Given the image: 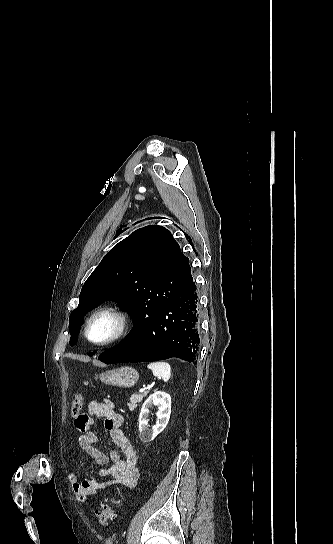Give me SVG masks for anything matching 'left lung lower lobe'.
Segmentation results:
<instances>
[{
    "label": "left lung lower lobe",
    "mask_w": 333,
    "mask_h": 544,
    "mask_svg": "<svg viewBox=\"0 0 333 544\" xmlns=\"http://www.w3.org/2000/svg\"><path fill=\"white\" fill-rule=\"evenodd\" d=\"M190 276L179 293L147 321L134 325L117 347L99 355L106 364L148 362L178 357L194 362L200 344V308Z\"/></svg>",
    "instance_id": "0a47b994"
}]
</instances>
